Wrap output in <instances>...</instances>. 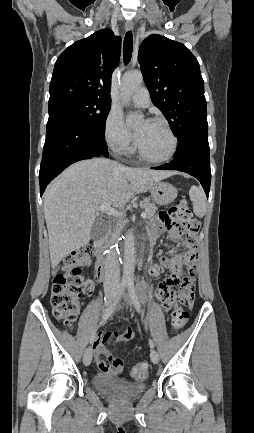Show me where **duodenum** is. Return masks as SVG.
Listing matches in <instances>:
<instances>
[{
    "label": "duodenum",
    "mask_w": 254,
    "mask_h": 433,
    "mask_svg": "<svg viewBox=\"0 0 254 433\" xmlns=\"http://www.w3.org/2000/svg\"><path fill=\"white\" fill-rule=\"evenodd\" d=\"M95 249L97 253H101L103 250L102 245L99 242L95 243ZM107 272H108V260L105 257H99L95 265V276L99 280H103L105 279Z\"/></svg>",
    "instance_id": "obj_1"
}]
</instances>
